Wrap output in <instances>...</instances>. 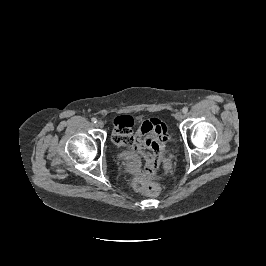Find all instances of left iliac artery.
<instances>
[{
  "instance_id": "obj_1",
  "label": "left iliac artery",
  "mask_w": 266,
  "mask_h": 266,
  "mask_svg": "<svg viewBox=\"0 0 266 266\" xmlns=\"http://www.w3.org/2000/svg\"><path fill=\"white\" fill-rule=\"evenodd\" d=\"M182 112L186 114V113L188 112V108H187V107H184V108L182 109Z\"/></svg>"
}]
</instances>
